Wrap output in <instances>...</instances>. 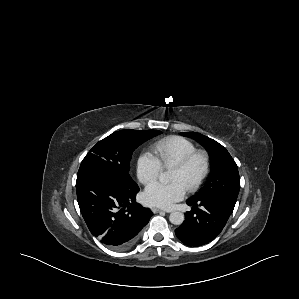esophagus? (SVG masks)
Segmentation results:
<instances>
[{"mask_svg": "<svg viewBox=\"0 0 299 299\" xmlns=\"http://www.w3.org/2000/svg\"><path fill=\"white\" fill-rule=\"evenodd\" d=\"M151 210H152L153 213L169 212V211H165V210H162V209H159V208H156V207H153Z\"/></svg>", "mask_w": 299, "mask_h": 299, "instance_id": "esophagus-1", "label": "esophagus"}]
</instances>
